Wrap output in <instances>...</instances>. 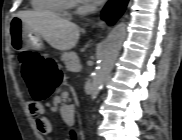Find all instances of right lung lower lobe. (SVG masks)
I'll use <instances>...</instances> for the list:
<instances>
[{"label":"right lung lower lobe","instance_id":"98d812e1","mask_svg":"<svg viewBox=\"0 0 182 140\" xmlns=\"http://www.w3.org/2000/svg\"><path fill=\"white\" fill-rule=\"evenodd\" d=\"M128 0H110L103 9L102 18L112 25L123 14Z\"/></svg>","mask_w":182,"mask_h":140}]
</instances>
